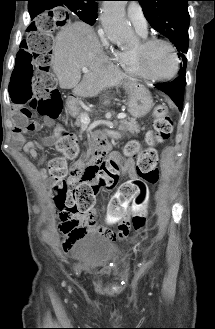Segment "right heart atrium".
Segmentation results:
<instances>
[{"mask_svg":"<svg viewBox=\"0 0 215 329\" xmlns=\"http://www.w3.org/2000/svg\"><path fill=\"white\" fill-rule=\"evenodd\" d=\"M98 36H99V38H100V40H101L102 45H103L106 49H108V50L110 51V53L112 54V56H113L114 58H116V56H117V51L114 50V49L112 48L111 43H110V40L108 39L107 35L105 34V32H104V30H103L102 28H100V29L98 30Z\"/></svg>","mask_w":215,"mask_h":329,"instance_id":"right-heart-atrium-1","label":"right heart atrium"}]
</instances>
